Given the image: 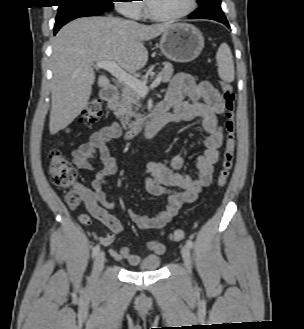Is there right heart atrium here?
I'll return each instance as SVG.
<instances>
[{"instance_id":"obj_1","label":"right heart atrium","mask_w":304,"mask_h":329,"mask_svg":"<svg viewBox=\"0 0 304 329\" xmlns=\"http://www.w3.org/2000/svg\"><path fill=\"white\" fill-rule=\"evenodd\" d=\"M117 9L120 13L134 19H139L143 16L144 3L143 0H118ZM139 2V3H134Z\"/></svg>"}]
</instances>
